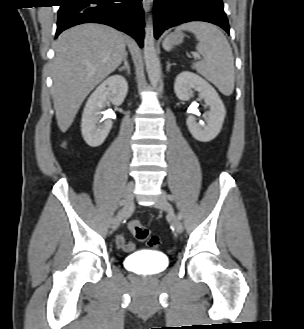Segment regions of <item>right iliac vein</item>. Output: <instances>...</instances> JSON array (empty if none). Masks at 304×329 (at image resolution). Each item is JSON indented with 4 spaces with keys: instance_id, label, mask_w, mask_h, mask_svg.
Here are the masks:
<instances>
[{
    "instance_id": "right-iliac-vein-1",
    "label": "right iliac vein",
    "mask_w": 304,
    "mask_h": 329,
    "mask_svg": "<svg viewBox=\"0 0 304 329\" xmlns=\"http://www.w3.org/2000/svg\"><path fill=\"white\" fill-rule=\"evenodd\" d=\"M133 191H134V183L129 182L125 187L124 195H123L124 199H125L124 208L119 212L115 222L112 224V229L113 230H116L119 227L122 219L126 215L127 210H128V208L131 204V201L133 199Z\"/></svg>"
}]
</instances>
